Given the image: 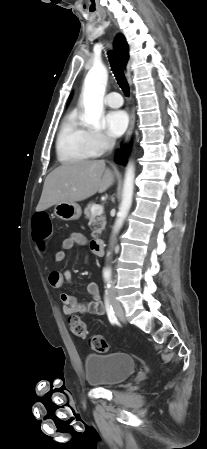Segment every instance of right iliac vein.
Wrapping results in <instances>:
<instances>
[{
	"label": "right iliac vein",
	"instance_id": "63e3f726",
	"mask_svg": "<svg viewBox=\"0 0 207 449\" xmlns=\"http://www.w3.org/2000/svg\"><path fill=\"white\" fill-rule=\"evenodd\" d=\"M111 304L114 308V311L116 313V315L121 319L124 320L125 319V315H124V310L121 306V304L119 302H117L116 300L112 299L111 300Z\"/></svg>",
	"mask_w": 207,
	"mask_h": 449
}]
</instances>
